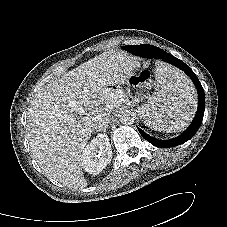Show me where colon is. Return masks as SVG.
I'll return each instance as SVG.
<instances>
[{"instance_id":"5ec220e1","label":"colon","mask_w":227,"mask_h":227,"mask_svg":"<svg viewBox=\"0 0 227 227\" xmlns=\"http://www.w3.org/2000/svg\"><path fill=\"white\" fill-rule=\"evenodd\" d=\"M150 79H151L150 72L142 71L133 75L132 83L134 85H144V84H148L150 82Z\"/></svg>"}]
</instances>
